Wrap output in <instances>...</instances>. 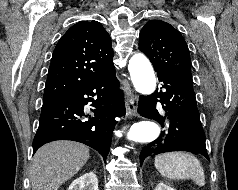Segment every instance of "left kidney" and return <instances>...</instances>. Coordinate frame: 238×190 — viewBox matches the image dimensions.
<instances>
[{
    "label": "left kidney",
    "mask_w": 238,
    "mask_h": 190,
    "mask_svg": "<svg viewBox=\"0 0 238 190\" xmlns=\"http://www.w3.org/2000/svg\"><path fill=\"white\" fill-rule=\"evenodd\" d=\"M155 190H176L165 183H159Z\"/></svg>",
    "instance_id": "obj_1"
}]
</instances>
